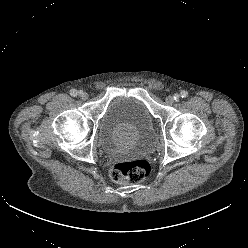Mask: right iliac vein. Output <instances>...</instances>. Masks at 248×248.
<instances>
[{
    "mask_svg": "<svg viewBox=\"0 0 248 248\" xmlns=\"http://www.w3.org/2000/svg\"><path fill=\"white\" fill-rule=\"evenodd\" d=\"M80 97H81V99L86 100V99H88V94L86 92H81Z\"/></svg>",
    "mask_w": 248,
    "mask_h": 248,
    "instance_id": "obj_1",
    "label": "right iliac vein"
}]
</instances>
